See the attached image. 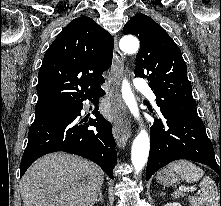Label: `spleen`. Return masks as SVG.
I'll return each mask as SVG.
<instances>
[{
	"mask_svg": "<svg viewBox=\"0 0 221 206\" xmlns=\"http://www.w3.org/2000/svg\"><path fill=\"white\" fill-rule=\"evenodd\" d=\"M169 168L176 171L183 180L189 183L200 181V197L189 196L191 206H219V191L215 182L204 176V171L187 160H179L171 163Z\"/></svg>",
	"mask_w": 221,
	"mask_h": 206,
	"instance_id": "spleen-1",
	"label": "spleen"
}]
</instances>
